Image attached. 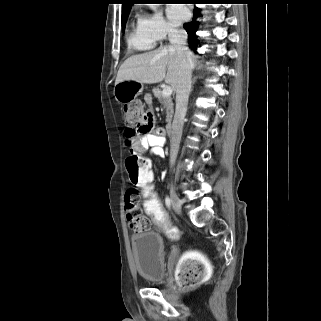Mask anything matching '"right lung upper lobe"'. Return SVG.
Here are the masks:
<instances>
[{
	"mask_svg": "<svg viewBox=\"0 0 321 321\" xmlns=\"http://www.w3.org/2000/svg\"><path fill=\"white\" fill-rule=\"evenodd\" d=\"M122 15L129 12L131 5L135 3L136 0H122Z\"/></svg>",
	"mask_w": 321,
	"mask_h": 321,
	"instance_id": "1",
	"label": "right lung upper lobe"
}]
</instances>
